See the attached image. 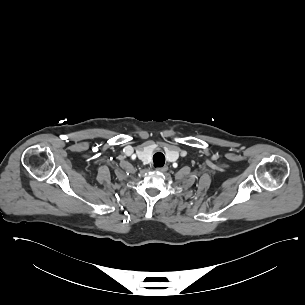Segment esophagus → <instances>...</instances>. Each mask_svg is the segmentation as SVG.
I'll use <instances>...</instances> for the list:
<instances>
[{"mask_svg": "<svg viewBox=\"0 0 305 305\" xmlns=\"http://www.w3.org/2000/svg\"><path fill=\"white\" fill-rule=\"evenodd\" d=\"M168 170V166L157 167L156 171L158 172H166Z\"/></svg>", "mask_w": 305, "mask_h": 305, "instance_id": "34e87169", "label": "esophagus"}]
</instances>
